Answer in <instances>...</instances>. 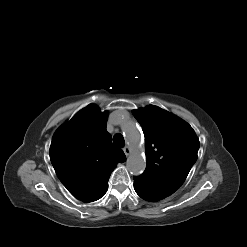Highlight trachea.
Listing matches in <instances>:
<instances>
[{
	"label": "trachea",
	"instance_id": "1",
	"mask_svg": "<svg viewBox=\"0 0 247 247\" xmlns=\"http://www.w3.org/2000/svg\"><path fill=\"white\" fill-rule=\"evenodd\" d=\"M113 142L119 147H123L125 145L124 137L119 133L114 135Z\"/></svg>",
	"mask_w": 247,
	"mask_h": 247
}]
</instances>
